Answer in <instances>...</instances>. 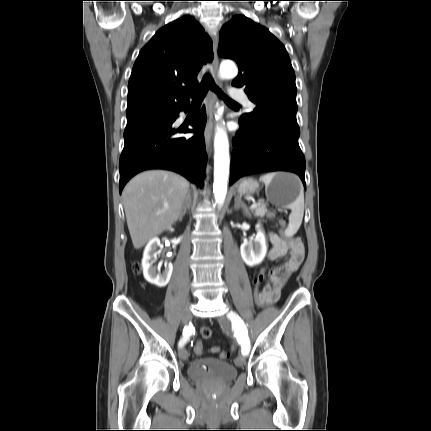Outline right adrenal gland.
<instances>
[{"instance_id": "obj_1", "label": "right adrenal gland", "mask_w": 431, "mask_h": 431, "mask_svg": "<svg viewBox=\"0 0 431 431\" xmlns=\"http://www.w3.org/2000/svg\"><path fill=\"white\" fill-rule=\"evenodd\" d=\"M190 200H191V192L188 191L186 199H185L184 204L182 206V210H181V214H180V217H179V221L182 220L183 216L186 213L187 208H189V204L187 202H190Z\"/></svg>"}]
</instances>
